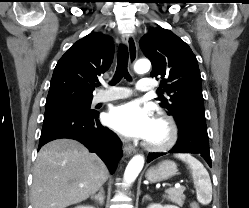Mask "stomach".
Instances as JSON below:
<instances>
[{
  "label": "stomach",
  "mask_w": 249,
  "mask_h": 208,
  "mask_svg": "<svg viewBox=\"0 0 249 208\" xmlns=\"http://www.w3.org/2000/svg\"><path fill=\"white\" fill-rule=\"evenodd\" d=\"M177 173V165L175 162L165 160L158 165L147 170L145 177L151 183H157L173 177Z\"/></svg>",
  "instance_id": "0dacf381"
}]
</instances>
